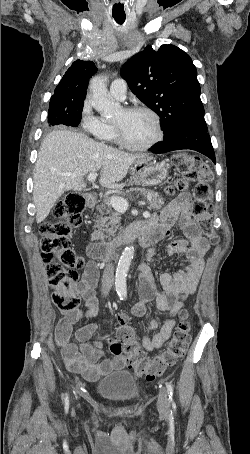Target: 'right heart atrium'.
I'll use <instances>...</instances> for the list:
<instances>
[{"mask_svg": "<svg viewBox=\"0 0 250 454\" xmlns=\"http://www.w3.org/2000/svg\"><path fill=\"white\" fill-rule=\"evenodd\" d=\"M81 126L87 133L99 136L104 128L103 122L93 113L88 101H85L81 110Z\"/></svg>", "mask_w": 250, "mask_h": 454, "instance_id": "right-heart-atrium-1", "label": "right heart atrium"}]
</instances>
